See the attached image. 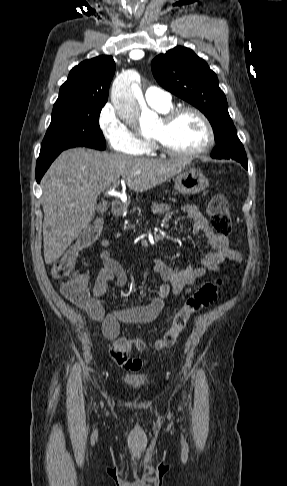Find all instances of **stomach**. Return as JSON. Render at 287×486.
<instances>
[{
	"label": "stomach",
	"instance_id": "obj_1",
	"mask_svg": "<svg viewBox=\"0 0 287 486\" xmlns=\"http://www.w3.org/2000/svg\"><path fill=\"white\" fill-rule=\"evenodd\" d=\"M209 186L205 175L194 167H187L175 178V189L183 195H193Z\"/></svg>",
	"mask_w": 287,
	"mask_h": 486
}]
</instances>
